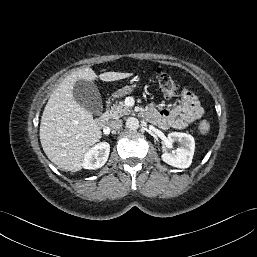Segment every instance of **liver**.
I'll list each match as a JSON object with an SVG mask.
<instances>
[{
  "instance_id": "obj_1",
  "label": "liver",
  "mask_w": 257,
  "mask_h": 257,
  "mask_svg": "<svg viewBox=\"0 0 257 257\" xmlns=\"http://www.w3.org/2000/svg\"><path fill=\"white\" fill-rule=\"evenodd\" d=\"M133 73L105 72L98 77L89 68L79 69L68 75L53 91L40 123L42 148L55 165L65 171L82 169L88 149L101 139V130L92 114L79 105L73 96L78 80L116 81L132 76Z\"/></svg>"
}]
</instances>
